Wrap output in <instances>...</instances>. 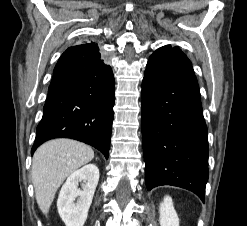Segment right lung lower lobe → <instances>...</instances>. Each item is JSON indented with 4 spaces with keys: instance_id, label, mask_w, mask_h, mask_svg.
<instances>
[{
    "instance_id": "1",
    "label": "right lung lower lobe",
    "mask_w": 247,
    "mask_h": 226,
    "mask_svg": "<svg viewBox=\"0 0 247 226\" xmlns=\"http://www.w3.org/2000/svg\"><path fill=\"white\" fill-rule=\"evenodd\" d=\"M115 82L93 44L69 47L59 58L31 153L53 138H71L100 150L108 158Z\"/></svg>"
}]
</instances>
